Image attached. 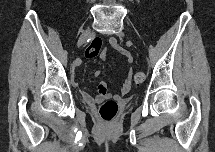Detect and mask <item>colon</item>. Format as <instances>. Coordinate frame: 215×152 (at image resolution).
<instances>
[{
	"mask_svg": "<svg viewBox=\"0 0 215 152\" xmlns=\"http://www.w3.org/2000/svg\"><path fill=\"white\" fill-rule=\"evenodd\" d=\"M102 48V42L100 39H94L87 46L85 54L87 58L96 57ZM145 80V74L141 71L136 72L134 76L135 85H140ZM118 104L113 99H108L104 101L99 107V115L104 121H111L117 115Z\"/></svg>",
	"mask_w": 215,
	"mask_h": 152,
	"instance_id": "obj_1",
	"label": "colon"
}]
</instances>
